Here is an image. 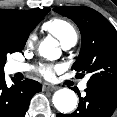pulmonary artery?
<instances>
[{
  "instance_id": "e3ab8cb5",
  "label": "pulmonary artery",
  "mask_w": 117,
  "mask_h": 117,
  "mask_svg": "<svg viewBox=\"0 0 117 117\" xmlns=\"http://www.w3.org/2000/svg\"><path fill=\"white\" fill-rule=\"evenodd\" d=\"M77 42V38H72L64 43H62V47L65 50H68L70 48H72L73 46H75ZM29 70V66L28 65H23L21 63L18 62H12L11 63V71L13 73H20V72H25ZM87 87V79L83 80L80 84H79V88L81 90L86 89Z\"/></svg>"
}]
</instances>
